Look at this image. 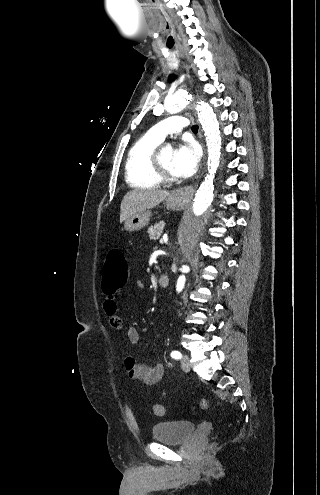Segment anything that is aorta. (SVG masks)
<instances>
[{
  "mask_svg": "<svg viewBox=\"0 0 320 495\" xmlns=\"http://www.w3.org/2000/svg\"><path fill=\"white\" fill-rule=\"evenodd\" d=\"M192 97L186 91H178L167 97L164 109L175 114L189 105ZM198 117L202 125L208 150V174L196 192L193 205L185 215L178 230V243L184 254L191 245H196L202 238L203 231L213 223L218 205L213 198L214 177L219 167L221 156V131L217 117L208 104L198 106ZM186 268L185 272H188ZM186 282L185 275H180L176 284V291L181 292Z\"/></svg>",
  "mask_w": 320,
  "mask_h": 495,
  "instance_id": "obj_1",
  "label": "aorta"
}]
</instances>
